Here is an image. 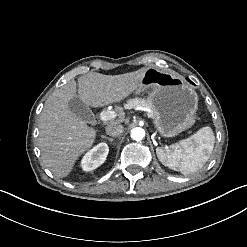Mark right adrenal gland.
<instances>
[{"instance_id":"1","label":"right adrenal gland","mask_w":247,"mask_h":247,"mask_svg":"<svg viewBox=\"0 0 247 247\" xmlns=\"http://www.w3.org/2000/svg\"><path fill=\"white\" fill-rule=\"evenodd\" d=\"M101 137L106 138L107 140H109L110 142H112L114 139L112 137H108L106 135H101Z\"/></svg>"}]
</instances>
